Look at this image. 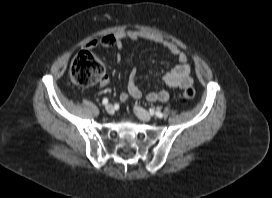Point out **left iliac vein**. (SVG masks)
I'll return each instance as SVG.
<instances>
[{"instance_id":"1","label":"left iliac vein","mask_w":272,"mask_h":198,"mask_svg":"<svg viewBox=\"0 0 272 198\" xmlns=\"http://www.w3.org/2000/svg\"><path fill=\"white\" fill-rule=\"evenodd\" d=\"M134 112L141 120L145 122L150 121L152 118L151 115L140 106H134Z\"/></svg>"}]
</instances>
